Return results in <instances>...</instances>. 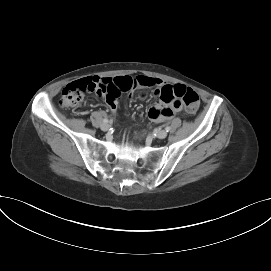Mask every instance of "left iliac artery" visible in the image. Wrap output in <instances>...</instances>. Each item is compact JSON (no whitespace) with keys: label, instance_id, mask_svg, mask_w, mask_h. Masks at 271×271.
<instances>
[{"label":"left iliac artery","instance_id":"44dca946","mask_svg":"<svg viewBox=\"0 0 271 271\" xmlns=\"http://www.w3.org/2000/svg\"><path fill=\"white\" fill-rule=\"evenodd\" d=\"M165 130H166L167 132H169V131L171 130V128H170L169 126H167V127L165 128Z\"/></svg>","mask_w":271,"mask_h":271}]
</instances>
